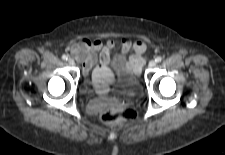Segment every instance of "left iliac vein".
Returning a JSON list of instances; mask_svg holds the SVG:
<instances>
[{
    "label": "left iliac vein",
    "mask_w": 225,
    "mask_h": 155,
    "mask_svg": "<svg viewBox=\"0 0 225 155\" xmlns=\"http://www.w3.org/2000/svg\"><path fill=\"white\" fill-rule=\"evenodd\" d=\"M156 66V61L155 60H151L150 62H149V64H148V67L149 68H153V67H155Z\"/></svg>",
    "instance_id": "left-iliac-vein-1"
}]
</instances>
